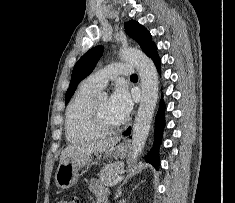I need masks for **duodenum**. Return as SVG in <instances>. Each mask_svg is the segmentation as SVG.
Segmentation results:
<instances>
[{"instance_id": "obj_1", "label": "duodenum", "mask_w": 235, "mask_h": 203, "mask_svg": "<svg viewBox=\"0 0 235 203\" xmlns=\"http://www.w3.org/2000/svg\"><path fill=\"white\" fill-rule=\"evenodd\" d=\"M99 203H106V200L105 199L101 200V201H99Z\"/></svg>"}]
</instances>
